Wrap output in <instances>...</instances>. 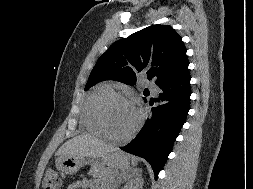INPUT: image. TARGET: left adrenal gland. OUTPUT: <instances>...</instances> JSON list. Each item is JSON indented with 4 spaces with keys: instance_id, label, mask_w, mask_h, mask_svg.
Segmentation results:
<instances>
[{
    "instance_id": "a2214340",
    "label": "left adrenal gland",
    "mask_w": 253,
    "mask_h": 189,
    "mask_svg": "<svg viewBox=\"0 0 253 189\" xmlns=\"http://www.w3.org/2000/svg\"><path fill=\"white\" fill-rule=\"evenodd\" d=\"M141 173H142L141 169L128 170L127 172L122 173L119 177L118 182L115 184L114 187H116L117 184L122 181V179L126 180V178H131L133 176H140Z\"/></svg>"
}]
</instances>
